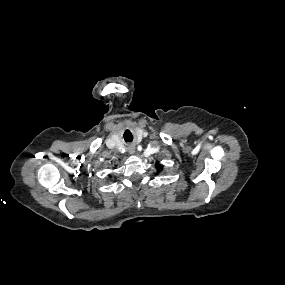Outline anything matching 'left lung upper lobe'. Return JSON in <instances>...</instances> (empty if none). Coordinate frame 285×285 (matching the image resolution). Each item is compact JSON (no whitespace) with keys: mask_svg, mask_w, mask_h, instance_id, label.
Masks as SVG:
<instances>
[{"mask_svg":"<svg viewBox=\"0 0 285 285\" xmlns=\"http://www.w3.org/2000/svg\"><path fill=\"white\" fill-rule=\"evenodd\" d=\"M156 167H157V169H158V171H161L162 170V166L161 165H159V164H156Z\"/></svg>","mask_w":285,"mask_h":285,"instance_id":"5c2ea615","label":"left lung upper lobe"}]
</instances>
